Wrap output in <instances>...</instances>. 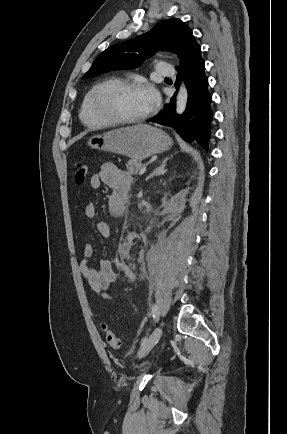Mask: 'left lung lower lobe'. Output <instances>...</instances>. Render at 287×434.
Here are the masks:
<instances>
[{
    "mask_svg": "<svg viewBox=\"0 0 287 434\" xmlns=\"http://www.w3.org/2000/svg\"><path fill=\"white\" fill-rule=\"evenodd\" d=\"M204 69L201 54L189 59L180 69L177 68L180 71L177 79L182 76L188 91L186 110L182 115L175 113V94L158 115L147 121L172 127L184 140L196 142L208 150L213 113L210 109L212 98L208 92V78ZM175 86L178 88L179 82H176Z\"/></svg>",
    "mask_w": 287,
    "mask_h": 434,
    "instance_id": "left-lung-lower-lobe-1",
    "label": "left lung lower lobe"
}]
</instances>
